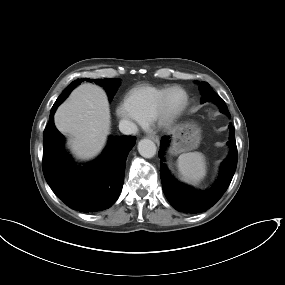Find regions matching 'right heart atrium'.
<instances>
[{
  "label": "right heart atrium",
  "mask_w": 285,
  "mask_h": 285,
  "mask_svg": "<svg viewBox=\"0 0 285 285\" xmlns=\"http://www.w3.org/2000/svg\"><path fill=\"white\" fill-rule=\"evenodd\" d=\"M115 116L120 124L128 127H133L138 121L129 106L122 102L115 108Z\"/></svg>",
  "instance_id": "d8ad5b80"
}]
</instances>
